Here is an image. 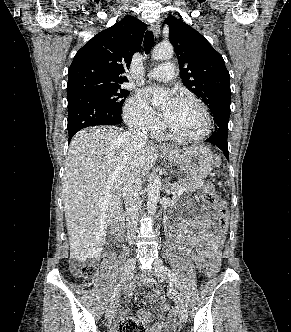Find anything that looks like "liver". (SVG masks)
<instances>
[{"mask_svg": "<svg viewBox=\"0 0 291 332\" xmlns=\"http://www.w3.org/2000/svg\"><path fill=\"white\" fill-rule=\"evenodd\" d=\"M129 132L115 126H94L71 140L63 176L62 201L70 242V258L85 262L101 255L106 229L118 215L122 178L131 148ZM162 147L139 150L138 171L145 176Z\"/></svg>", "mask_w": 291, "mask_h": 332, "instance_id": "liver-1", "label": "liver"}]
</instances>
